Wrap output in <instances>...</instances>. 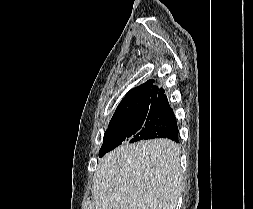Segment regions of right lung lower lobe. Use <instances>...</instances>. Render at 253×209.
Instances as JSON below:
<instances>
[{
	"instance_id": "98d812e1",
	"label": "right lung lower lobe",
	"mask_w": 253,
	"mask_h": 209,
	"mask_svg": "<svg viewBox=\"0 0 253 209\" xmlns=\"http://www.w3.org/2000/svg\"><path fill=\"white\" fill-rule=\"evenodd\" d=\"M150 109L158 110V119L154 127L145 132L141 137L145 140L154 138H168L175 142H179V131L176 117L168 103L166 95H164L160 100L154 102Z\"/></svg>"
}]
</instances>
